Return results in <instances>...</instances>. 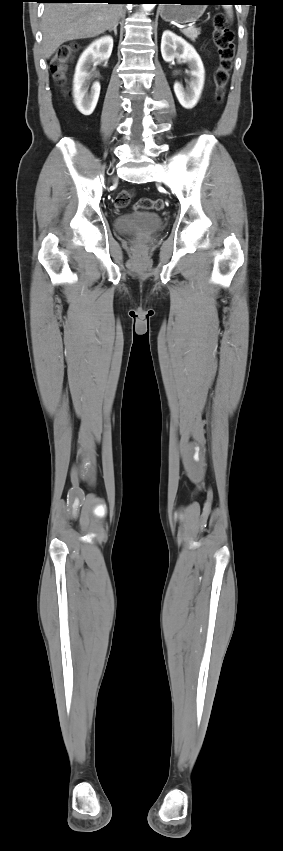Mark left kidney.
<instances>
[{
  "label": "left kidney",
  "mask_w": 283,
  "mask_h": 851,
  "mask_svg": "<svg viewBox=\"0 0 283 851\" xmlns=\"http://www.w3.org/2000/svg\"><path fill=\"white\" fill-rule=\"evenodd\" d=\"M161 54L166 62H172L177 58L188 65L190 77L188 86L184 88L181 83L176 82L174 92L185 109H192L200 98L205 80V70L200 56L192 45L168 30L162 35Z\"/></svg>",
  "instance_id": "left-kidney-1"
}]
</instances>
